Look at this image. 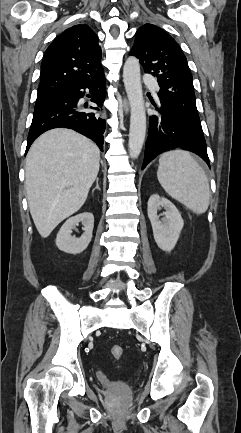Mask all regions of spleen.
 <instances>
[{"mask_svg": "<svg viewBox=\"0 0 241 433\" xmlns=\"http://www.w3.org/2000/svg\"><path fill=\"white\" fill-rule=\"evenodd\" d=\"M157 177L167 194L189 210L197 215L207 211L210 202L208 178L189 152L172 150L163 153Z\"/></svg>", "mask_w": 241, "mask_h": 433, "instance_id": "spleen-1", "label": "spleen"}]
</instances>
